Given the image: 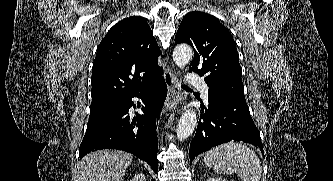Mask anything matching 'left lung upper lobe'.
<instances>
[{
    "mask_svg": "<svg viewBox=\"0 0 333 181\" xmlns=\"http://www.w3.org/2000/svg\"><path fill=\"white\" fill-rule=\"evenodd\" d=\"M175 42L193 47L189 72L203 76L208 87L227 101L248 108L236 43L217 18L204 12L188 13L179 26Z\"/></svg>",
    "mask_w": 333,
    "mask_h": 181,
    "instance_id": "1",
    "label": "left lung upper lobe"
}]
</instances>
